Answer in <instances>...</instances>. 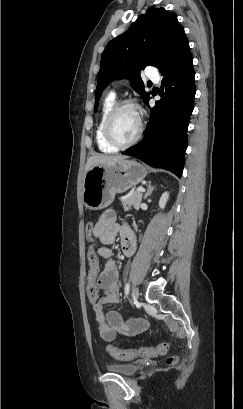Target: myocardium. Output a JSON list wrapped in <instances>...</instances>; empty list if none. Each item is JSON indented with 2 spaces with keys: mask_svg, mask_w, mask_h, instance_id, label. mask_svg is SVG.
<instances>
[{
  "mask_svg": "<svg viewBox=\"0 0 243 409\" xmlns=\"http://www.w3.org/2000/svg\"><path fill=\"white\" fill-rule=\"evenodd\" d=\"M124 107H133L137 110L138 115H139V129L137 134L130 140L128 141H121L119 140L114 132H113V121L115 116L117 115V113L123 109ZM144 132V119H143V115L141 112V108L138 105L137 102L133 101V100H129V99H125L122 101H119L118 103H116L111 110L109 111L105 122H104V136L106 138V140L108 141L109 144H111L112 146L116 147V148H125L128 146H131L133 144H135L136 142L139 141V139L142 137Z\"/></svg>",
  "mask_w": 243,
  "mask_h": 409,
  "instance_id": "1",
  "label": "myocardium"
}]
</instances>
